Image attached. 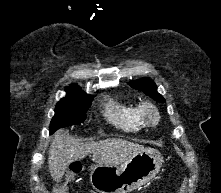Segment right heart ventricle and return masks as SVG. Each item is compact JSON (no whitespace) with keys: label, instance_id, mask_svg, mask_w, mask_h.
<instances>
[{"label":"right heart ventricle","instance_id":"right-heart-ventricle-1","mask_svg":"<svg viewBox=\"0 0 221 193\" xmlns=\"http://www.w3.org/2000/svg\"><path fill=\"white\" fill-rule=\"evenodd\" d=\"M109 119L119 128L127 132H137L141 127V115L139 109L129 103L109 99L106 103Z\"/></svg>","mask_w":221,"mask_h":193}]
</instances>
